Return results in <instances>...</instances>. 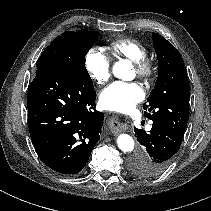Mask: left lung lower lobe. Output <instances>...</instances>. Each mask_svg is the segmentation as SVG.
<instances>
[{
    "label": "left lung lower lobe",
    "mask_w": 211,
    "mask_h": 211,
    "mask_svg": "<svg viewBox=\"0 0 211 211\" xmlns=\"http://www.w3.org/2000/svg\"><path fill=\"white\" fill-rule=\"evenodd\" d=\"M134 131L135 137L146 152H139L130 159L132 173L142 178L161 174L172 163L184 134L160 121H153L149 133L136 127Z\"/></svg>",
    "instance_id": "1"
}]
</instances>
